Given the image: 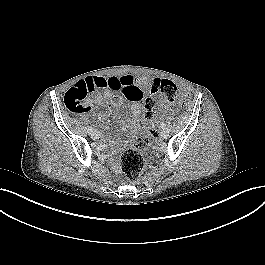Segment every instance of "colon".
I'll return each instance as SVG.
<instances>
[{"instance_id":"obj_1","label":"colon","mask_w":265,"mask_h":265,"mask_svg":"<svg viewBox=\"0 0 265 265\" xmlns=\"http://www.w3.org/2000/svg\"><path fill=\"white\" fill-rule=\"evenodd\" d=\"M98 88L96 82L90 79L84 82H78L70 88L64 97L65 105L73 113H82L85 110L84 101L89 92ZM152 93L158 94V98L145 97L143 101L144 121L151 123L157 116L159 107L168 106L174 102L185 104L187 97L182 95L177 85L168 79H158L154 81ZM152 142V135L148 130L139 132L136 136L132 148L126 150L121 156V167L130 181H137L144 168L142 153L145 152Z\"/></svg>"}]
</instances>
